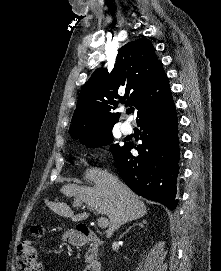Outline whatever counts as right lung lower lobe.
Wrapping results in <instances>:
<instances>
[{
    "label": "right lung lower lobe",
    "mask_w": 221,
    "mask_h": 271,
    "mask_svg": "<svg viewBox=\"0 0 221 271\" xmlns=\"http://www.w3.org/2000/svg\"><path fill=\"white\" fill-rule=\"evenodd\" d=\"M137 125L143 130L142 144L133 156L131 144H125L114 157L117 169L127 186L138 195L175 209L180 156L178 120L173 100L163 108L148 112Z\"/></svg>",
    "instance_id": "obj_1"
}]
</instances>
